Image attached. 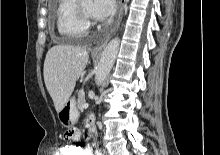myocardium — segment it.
Returning a JSON list of instances; mask_svg holds the SVG:
<instances>
[{
    "label": "myocardium",
    "instance_id": "obj_1",
    "mask_svg": "<svg viewBox=\"0 0 220 155\" xmlns=\"http://www.w3.org/2000/svg\"><path fill=\"white\" fill-rule=\"evenodd\" d=\"M75 11L76 14L78 16V18L85 24H90L93 21L92 15L87 13L82 4H81V0H76V4H75Z\"/></svg>",
    "mask_w": 220,
    "mask_h": 155
}]
</instances>
